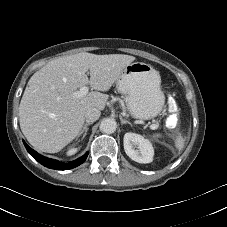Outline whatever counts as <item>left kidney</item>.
<instances>
[{
	"mask_svg": "<svg viewBox=\"0 0 227 227\" xmlns=\"http://www.w3.org/2000/svg\"><path fill=\"white\" fill-rule=\"evenodd\" d=\"M124 150L138 163H150L153 160L154 149L151 142L139 134L128 132L124 135Z\"/></svg>",
	"mask_w": 227,
	"mask_h": 227,
	"instance_id": "1",
	"label": "left kidney"
}]
</instances>
